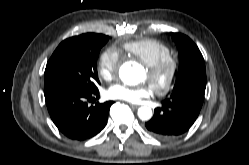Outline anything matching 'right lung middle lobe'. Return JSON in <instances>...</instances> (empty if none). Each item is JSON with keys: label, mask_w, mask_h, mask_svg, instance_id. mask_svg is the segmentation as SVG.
I'll return each instance as SVG.
<instances>
[{"label": "right lung middle lobe", "mask_w": 249, "mask_h": 165, "mask_svg": "<svg viewBox=\"0 0 249 165\" xmlns=\"http://www.w3.org/2000/svg\"><path fill=\"white\" fill-rule=\"evenodd\" d=\"M108 39L106 35L86 33L61 42L47 63L45 85L55 84L88 91L97 89L96 61Z\"/></svg>", "instance_id": "obj_1"}]
</instances>
